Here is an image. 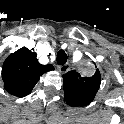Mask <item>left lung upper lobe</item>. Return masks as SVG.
I'll return each mask as SVG.
<instances>
[{
  "instance_id": "left-lung-upper-lobe-1",
  "label": "left lung upper lobe",
  "mask_w": 124,
  "mask_h": 124,
  "mask_svg": "<svg viewBox=\"0 0 124 124\" xmlns=\"http://www.w3.org/2000/svg\"><path fill=\"white\" fill-rule=\"evenodd\" d=\"M101 83V75L97 70L92 77H81L76 71H70L63 78L66 103L70 106H86L90 104Z\"/></svg>"
}]
</instances>
